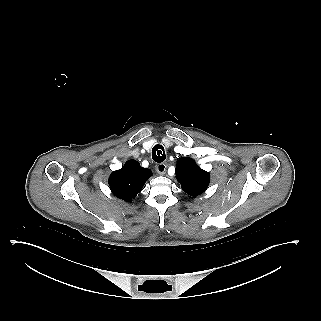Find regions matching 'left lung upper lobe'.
<instances>
[{"label":"left lung upper lobe","mask_w":321,"mask_h":321,"mask_svg":"<svg viewBox=\"0 0 321 321\" xmlns=\"http://www.w3.org/2000/svg\"><path fill=\"white\" fill-rule=\"evenodd\" d=\"M175 173L182 189L192 197L203 193L210 182L209 172L201 169L195 161L189 157L179 159Z\"/></svg>","instance_id":"left-lung-upper-lobe-1"}]
</instances>
